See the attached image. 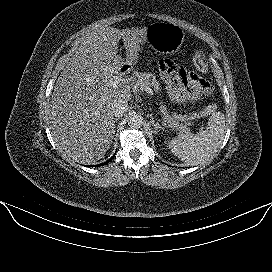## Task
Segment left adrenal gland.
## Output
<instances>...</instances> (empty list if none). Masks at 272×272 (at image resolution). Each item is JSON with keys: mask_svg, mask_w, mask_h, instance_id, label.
<instances>
[{"mask_svg": "<svg viewBox=\"0 0 272 272\" xmlns=\"http://www.w3.org/2000/svg\"><path fill=\"white\" fill-rule=\"evenodd\" d=\"M151 124H152V126H154L155 133H157L159 129H164L165 125H166L164 123H162V125H160L159 122H156L153 118L151 119Z\"/></svg>", "mask_w": 272, "mask_h": 272, "instance_id": "a2214340", "label": "left adrenal gland"}]
</instances>
